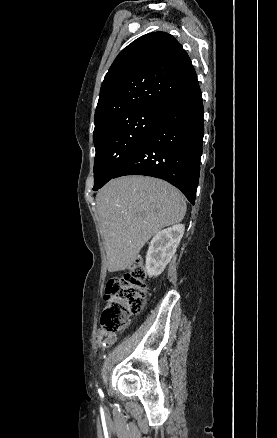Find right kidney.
Returning <instances> with one entry per match:
<instances>
[{
  "label": "right kidney",
  "instance_id": "ca27d5eb",
  "mask_svg": "<svg viewBox=\"0 0 277 438\" xmlns=\"http://www.w3.org/2000/svg\"><path fill=\"white\" fill-rule=\"evenodd\" d=\"M184 224H176L157 232L146 254L145 272L149 278L160 276L174 256L184 234Z\"/></svg>",
  "mask_w": 277,
  "mask_h": 438
}]
</instances>
